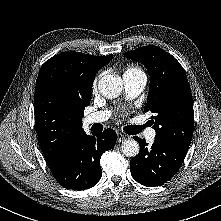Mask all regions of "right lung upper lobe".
Returning a JSON list of instances; mask_svg holds the SVG:
<instances>
[{
  "label": "right lung upper lobe",
  "instance_id": "obj_1",
  "mask_svg": "<svg viewBox=\"0 0 221 221\" xmlns=\"http://www.w3.org/2000/svg\"><path fill=\"white\" fill-rule=\"evenodd\" d=\"M112 59L65 52L41 67L35 88V125L49 167L60 162L84 132L82 118L96 73Z\"/></svg>",
  "mask_w": 221,
  "mask_h": 221
}]
</instances>
